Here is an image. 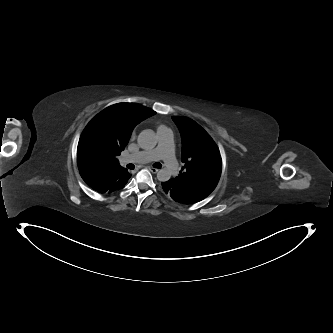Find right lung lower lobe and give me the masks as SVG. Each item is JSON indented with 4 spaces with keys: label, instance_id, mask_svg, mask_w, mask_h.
Returning a JSON list of instances; mask_svg holds the SVG:
<instances>
[{
    "label": "right lung lower lobe",
    "instance_id": "right-lung-lower-lobe-1",
    "mask_svg": "<svg viewBox=\"0 0 333 333\" xmlns=\"http://www.w3.org/2000/svg\"><path fill=\"white\" fill-rule=\"evenodd\" d=\"M88 186L99 193H111L125 186L131 175L128 170L121 175H109L103 179L99 178L95 171H84L81 174Z\"/></svg>",
    "mask_w": 333,
    "mask_h": 333
}]
</instances>
